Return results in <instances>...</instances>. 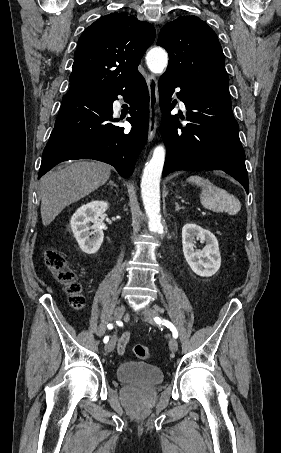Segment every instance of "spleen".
Returning <instances> with one entry per match:
<instances>
[{
  "mask_svg": "<svg viewBox=\"0 0 281 453\" xmlns=\"http://www.w3.org/2000/svg\"><path fill=\"white\" fill-rule=\"evenodd\" d=\"M188 182H194L197 186H201L202 192L200 194L201 204L209 210H214V212H228V214H237L241 208V202L224 190V188H219L215 186L210 180H204L202 176H189L187 178Z\"/></svg>",
  "mask_w": 281,
  "mask_h": 453,
  "instance_id": "spleen-1",
  "label": "spleen"
}]
</instances>
